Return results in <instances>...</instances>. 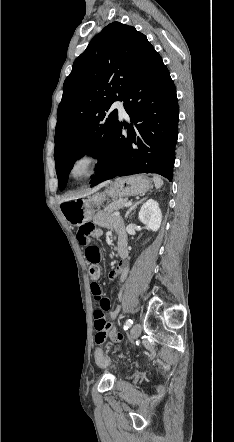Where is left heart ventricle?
<instances>
[{
    "label": "left heart ventricle",
    "mask_w": 234,
    "mask_h": 442,
    "mask_svg": "<svg viewBox=\"0 0 234 442\" xmlns=\"http://www.w3.org/2000/svg\"><path fill=\"white\" fill-rule=\"evenodd\" d=\"M87 172V162L86 161H80L78 162L73 169V174L76 177H81Z\"/></svg>",
    "instance_id": "obj_1"
}]
</instances>
